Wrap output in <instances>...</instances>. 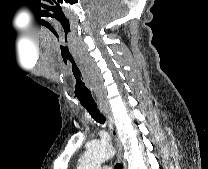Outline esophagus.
<instances>
[{
  "label": "esophagus",
  "instance_id": "34e87169",
  "mask_svg": "<svg viewBox=\"0 0 208 169\" xmlns=\"http://www.w3.org/2000/svg\"><path fill=\"white\" fill-rule=\"evenodd\" d=\"M99 110L104 115V117L106 118L107 123H108L109 131L111 133V136L114 139V142H115V145H116V148H117V159L123 165V169H126L127 165H126V162H125V160L122 156V145H121V142H120V139H119V136H118L117 129L115 127L114 120L111 116V113H110V111L108 110V108L106 106L100 105Z\"/></svg>",
  "mask_w": 208,
  "mask_h": 169
}]
</instances>
